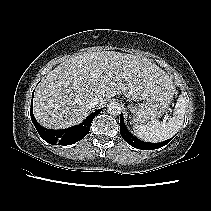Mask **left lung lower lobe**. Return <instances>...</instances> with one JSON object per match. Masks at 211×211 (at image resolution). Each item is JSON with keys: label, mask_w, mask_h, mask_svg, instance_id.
Instances as JSON below:
<instances>
[{"label": "left lung lower lobe", "mask_w": 211, "mask_h": 211, "mask_svg": "<svg viewBox=\"0 0 211 211\" xmlns=\"http://www.w3.org/2000/svg\"><path fill=\"white\" fill-rule=\"evenodd\" d=\"M120 133L122 138L131 146L141 149V150H153L160 148L170 142V140L161 142V143H146L138 140L134 137L127 129L126 125L124 124L123 115H120Z\"/></svg>", "instance_id": "0a47b994"}]
</instances>
